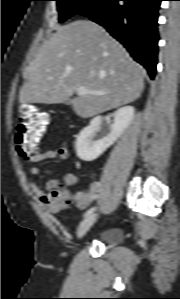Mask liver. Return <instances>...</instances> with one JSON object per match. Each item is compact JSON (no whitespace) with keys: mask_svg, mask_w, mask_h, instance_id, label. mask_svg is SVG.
<instances>
[{"mask_svg":"<svg viewBox=\"0 0 180 299\" xmlns=\"http://www.w3.org/2000/svg\"><path fill=\"white\" fill-rule=\"evenodd\" d=\"M20 103L58 104L78 87L103 95H79L74 112L89 118L129 104L144 89V71L98 24L80 20L59 27L24 73Z\"/></svg>","mask_w":180,"mask_h":299,"instance_id":"6515ba94","label":"liver"}]
</instances>
